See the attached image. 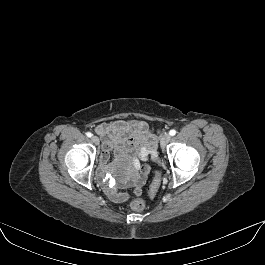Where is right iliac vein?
I'll use <instances>...</instances> for the list:
<instances>
[{"instance_id": "obj_1", "label": "right iliac vein", "mask_w": 265, "mask_h": 265, "mask_svg": "<svg viewBox=\"0 0 265 265\" xmlns=\"http://www.w3.org/2000/svg\"><path fill=\"white\" fill-rule=\"evenodd\" d=\"M91 140L94 144H99V138L97 136H92Z\"/></svg>"}]
</instances>
